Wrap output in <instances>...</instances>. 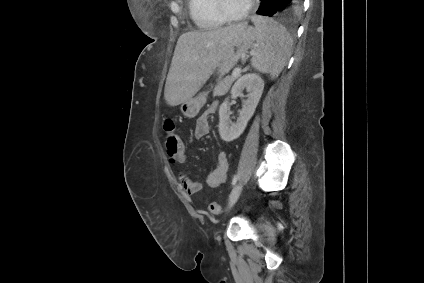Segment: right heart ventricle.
<instances>
[{"label":"right heart ventricle","instance_id":"obj_1","mask_svg":"<svg viewBox=\"0 0 424 283\" xmlns=\"http://www.w3.org/2000/svg\"><path fill=\"white\" fill-rule=\"evenodd\" d=\"M188 8L192 21L199 29L213 30L225 24L215 0H188Z\"/></svg>","mask_w":424,"mask_h":283}]
</instances>
